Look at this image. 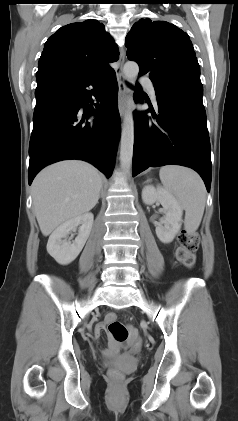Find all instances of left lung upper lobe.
Segmentation results:
<instances>
[{
  "label": "left lung upper lobe",
  "instance_id": "obj_1",
  "mask_svg": "<svg viewBox=\"0 0 238 421\" xmlns=\"http://www.w3.org/2000/svg\"><path fill=\"white\" fill-rule=\"evenodd\" d=\"M127 57L159 85L189 77L200 78V67L187 33L166 21L140 19L126 36Z\"/></svg>",
  "mask_w": 238,
  "mask_h": 421
}]
</instances>
